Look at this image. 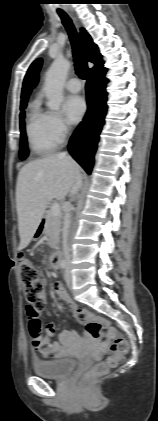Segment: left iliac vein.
I'll list each match as a JSON object with an SVG mask.
<instances>
[{
  "instance_id": "4c4485c4",
  "label": "left iliac vein",
  "mask_w": 158,
  "mask_h": 421,
  "mask_svg": "<svg viewBox=\"0 0 158 421\" xmlns=\"http://www.w3.org/2000/svg\"><path fill=\"white\" fill-rule=\"evenodd\" d=\"M64 279H65V281H66V283H67L68 285H70V284H71L72 277H71V272H70V267H69V266H68V267L66 268V270H65V273H64Z\"/></svg>"
}]
</instances>
